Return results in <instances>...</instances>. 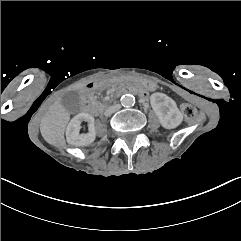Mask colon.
Returning <instances> with one entry per match:
<instances>
[{
    "mask_svg": "<svg viewBox=\"0 0 241 241\" xmlns=\"http://www.w3.org/2000/svg\"><path fill=\"white\" fill-rule=\"evenodd\" d=\"M181 110L184 117L191 123H197L199 121L200 119L199 112L193 104L182 103Z\"/></svg>",
    "mask_w": 241,
    "mask_h": 241,
    "instance_id": "5ec220e1",
    "label": "colon"
}]
</instances>
